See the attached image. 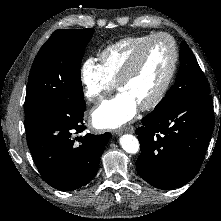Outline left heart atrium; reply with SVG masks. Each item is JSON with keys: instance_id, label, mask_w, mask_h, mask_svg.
<instances>
[{"instance_id": "39dd6f15", "label": "left heart atrium", "mask_w": 221, "mask_h": 221, "mask_svg": "<svg viewBox=\"0 0 221 221\" xmlns=\"http://www.w3.org/2000/svg\"><path fill=\"white\" fill-rule=\"evenodd\" d=\"M138 108L133 99L120 92L93 111V123L98 128L115 129L130 122L137 114Z\"/></svg>"}]
</instances>
